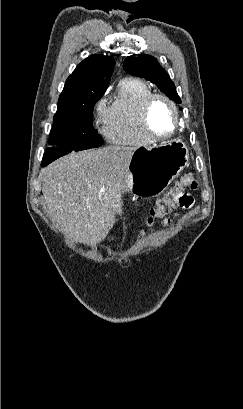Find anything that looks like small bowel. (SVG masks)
<instances>
[{
    "mask_svg": "<svg viewBox=\"0 0 243 409\" xmlns=\"http://www.w3.org/2000/svg\"><path fill=\"white\" fill-rule=\"evenodd\" d=\"M190 199H191V203H190L188 206H186V208H187V207H189V206L192 204V202H193V200H192V197H191V196H190ZM170 222H171V220H167V221H166V223H170Z\"/></svg>",
    "mask_w": 243,
    "mask_h": 409,
    "instance_id": "obj_1",
    "label": "small bowel"
}]
</instances>
